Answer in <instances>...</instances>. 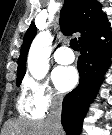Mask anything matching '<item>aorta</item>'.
Masks as SVG:
<instances>
[{
  "label": "aorta",
  "instance_id": "1",
  "mask_svg": "<svg viewBox=\"0 0 112 135\" xmlns=\"http://www.w3.org/2000/svg\"><path fill=\"white\" fill-rule=\"evenodd\" d=\"M52 36L49 31L40 32L33 40L28 54V70L33 78L42 80L49 70Z\"/></svg>",
  "mask_w": 112,
  "mask_h": 135
}]
</instances>
